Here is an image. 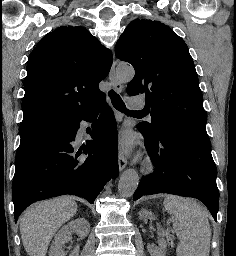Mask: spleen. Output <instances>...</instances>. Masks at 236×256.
Segmentation results:
<instances>
[{"label":"spleen","mask_w":236,"mask_h":256,"mask_svg":"<svg viewBox=\"0 0 236 256\" xmlns=\"http://www.w3.org/2000/svg\"><path fill=\"white\" fill-rule=\"evenodd\" d=\"M163 204L174 218L177 256H209L211 230L205 208L179 196H166Z\"/></svg>","instance_id":"spleen-1"}]
</instances>
